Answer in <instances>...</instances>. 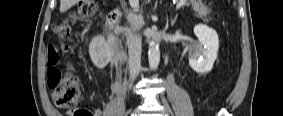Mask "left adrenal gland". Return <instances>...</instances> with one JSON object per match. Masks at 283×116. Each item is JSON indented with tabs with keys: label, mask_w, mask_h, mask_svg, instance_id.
<instances>
[{
	"label": "left adrenal gland",
	"mask_w": 283,
	"mask_h": 116,
	"mask_svg": "<svg viewBox=\"0 0 283 116\" xmlns=\"http://www.w3.org/2000/svg\"><path fill=\"white\" fill-rule=\"evenodd\" d=\"M178 18V14L175 15L174 19L171 20V26H174Z\"/></svg>",
	"instance_id": "1"
}]
</instances>
